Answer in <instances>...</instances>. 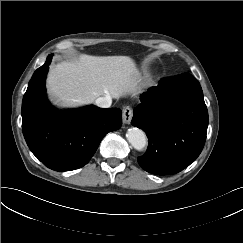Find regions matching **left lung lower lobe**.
Segmentation results:
<instances>
[{
    "label": "left lung lower lobe",
    "mask_w": 243,
    "mask_h": 243,
    "mask_svg": "<svg viewBox=\"0 0 243 243\" xmlns=\"http://www.w3.org/2000/svg\"><path fill=\"white\" fill-rule=\"evenodd\" d=\"M131 124L148 136L140 166L156 175L175 174L201 153L206 140L208 111L199 82L189 73L161 79L141 95Z\"/></svg>",
    "instance_id": "0a47b994"
}]
</instances>
